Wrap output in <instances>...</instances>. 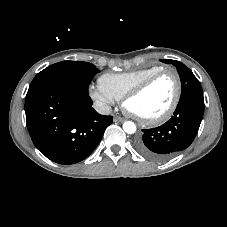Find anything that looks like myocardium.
I'll return each instance as SVG.
<instances>
[{"instance_id": "f54148a6", "label": "myocardium", "mask_w": 227, "mask_h": 227, "mask_svg": "<svg viewBox=\"0 0 227 227\" xmlns=\"http://www.w3.org/2000/svg\"><path fill=\"white\" fill-rule=\"evenodd\" d=\"M165 74H171L175 80V85H176L174 98H173L171 104L168 106V108L162 114H160L156 117H153V118H142V117L130 112L126 107L127 102L130 99L141 94L156 79H158L159 77H161L162 75H165ZM181 94H182V83H181L179 74L173 69L163 68V69L153 73L152 75L148 76L143 81H141L139 84H137L136 86L131 88L129 91H127L126 94L122 97V106L126 110L127 113L132 115L135 119H137L142 124L157 125V124L165 122L173 115V113L175 112V110L180 102Z\"/></svg>"}]
</instances>
